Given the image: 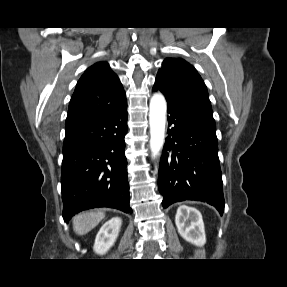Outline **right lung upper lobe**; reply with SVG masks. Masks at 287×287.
<instances>
[{
    "mask_svg": "<svg viewBox=\"0 0 287 287\" xmlns=\"http://www.w3.org/2000/svg\"><path fill=\"white\" fill-rule=\"evenodd\" d=\"M125 101L123 86L108 63H95L85 71L76 85L66 124L111 113Z\"/></svg>",
    "mask_w": 287,
    "mask_h": 287,
    "instance_id": "cb5924a9",
    "label": "right lung upper lobe"
}]
</instances>
